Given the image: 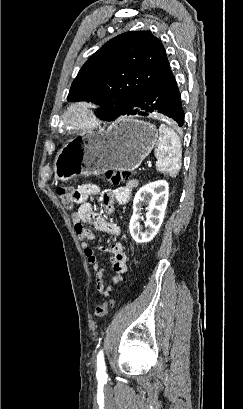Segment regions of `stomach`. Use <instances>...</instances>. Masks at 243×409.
Instances as JSON below:
<instances>
[{
	"mask_svg": "<svg viewBox=\"0 0 243 409\" xmlns=\"http://www.w3.org/2000/svg\"><path fill=\"white\" fill-rule=\"evenodd\" d=\"M157 139L155 125L130 117L120 118L104 130L83 134L64 145L55 158V178L69 180L108 170H135Z\"/></svg>",
	"mask_w": 243,
	"mask_h": 409,
	"instance_id": "0dacf381",
	"label": "stomach"
}]
</instances>
